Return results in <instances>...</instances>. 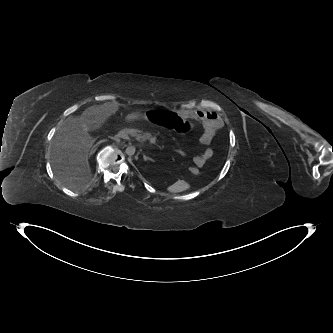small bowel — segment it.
<instances>
[{
  "instance_id": "c3829d8e",
  "label": "small bowel",
  "mask_w": 333,
  "mask_h": 333,
  "mask_svg": "<svg viewBox=\"0 0 333 333\" xmlns=\"http://www.w3.org/2000/svg\"><path fill=\"white\" fill-rule=\"evenodd\" d=\"M182 116H191L197 119H200L204 124V132L200 138V140L208 144L211 142L213 137L215 136L218 128L221 127L220 118L217 113L213 110H203V109H194L190 111H184ZM180 118V116H179ZM181 121V118H180ZM181 155H184L182 150H179ZM213 156V151L210 148L205 149L201 154L194 157V164L196 168L203 167L208 160Z\"/></svg>"
}]
</instances>
